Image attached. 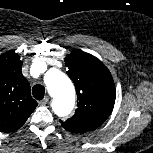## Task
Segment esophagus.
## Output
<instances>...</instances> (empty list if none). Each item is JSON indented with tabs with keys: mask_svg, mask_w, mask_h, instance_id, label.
<instances>
[{
	"mask_svg": "<svg viewBox=\"0 0 153 153\" xmlns=\"http://www.w3.org/2000/svg\"><path fill=\"white\" fill-rule=\"evenodd\" d=\"M48 101H49V97L46 96V97H44L42 100L39 101V104H40V105H45V104L48 103Z\"/></svg>",
	"mask_w": 153,
	"mask_h": 153,
	"instance_id": "esophagus-1",
	"label": "esophagus"
}]
</instances>
